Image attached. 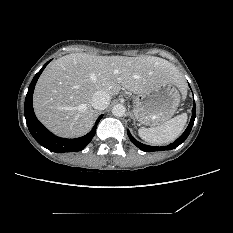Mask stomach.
<instances>
[{
	"label": "stomach",
	"mask_w": 233,
	"mask_h": 233,
	"mask_svg": "<svg viewBox=\"0 0 233 233\" xmlns=\"http://www.w3.org/2000/svg\"><path fill=\"white\" fill-rule=\"evenodd\" d=\"M180 104V92L174 83L160 85L133 99V113L145 126H158L168 121Z\"/></svg>",
	"instance_id": "1"
}]
</instances>
